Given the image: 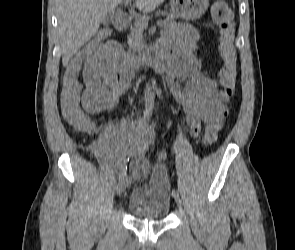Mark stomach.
<instances>
[{"label":"stomach","mask_w":295,"mask_h":250,"mask_svg":"<svg viewBox=\"0 0 295 250\" xmlns=\"http://www.w3.org/2000/svg\"><path fill=\"white\" fill-rule=\"evenodd\" d=\"M173 14L187 20L200 18L208 8V0H170Z\"/></svg>","instance_id":"obj_1"}]
</instances>
